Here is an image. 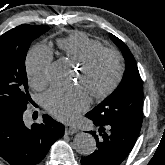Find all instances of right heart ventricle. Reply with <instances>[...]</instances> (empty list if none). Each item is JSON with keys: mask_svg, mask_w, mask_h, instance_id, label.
<instances>
[{"mask_svg": "<svg viewBox=\"0 0 165 165\" xmlns=\"http://www.w3.org/2000/svg\"><path fill=\"white\" fill-rule=\"evenodd\" d=\"M57 46L72 62L80 64L92 52L103 48V44L84 32H74L57 39Z\"/></svg>", "mask_w": 165, "mask_h": 165, "instance_id": "obj_1", "label": "right heart ventricle"}]
</instances>
